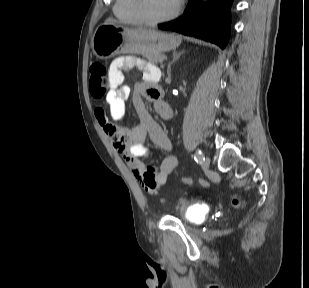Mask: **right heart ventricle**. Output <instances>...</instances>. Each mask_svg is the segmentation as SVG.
I'll return each mask as SVG.
<instances>
[{
    "mask_svg": "<svg viewBox=\"0 0 309 288\" xmlns=\"http://www.w3.org/2000/svg\"><path fill=\"white\" fill-rule=\"evenodd\" d=\"M132 0H116L113 8L114 15L125 24H140L141 21L134 14Z\"/></svg>",
    "mask_w": 309,
    "mask_h": 288,
    "instance_id": "right-heart-ventricle-1",
    "label": "right heart ventricle"
}]
</instances>
